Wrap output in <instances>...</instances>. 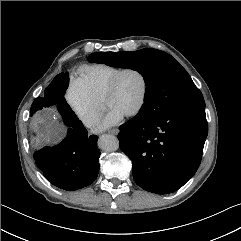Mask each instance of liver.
<instances>
[{
  "instance_id": "1",
  "label": "liver",
  "mask_w": 241,
  "mask_h": 241,
  "mask_svg": "<svg viewBox=\"0 0 241 241\" xmlns=\"http://www.w3.org/2000/svg\"><path fill=\"white\" fill-rule=\"evenodd\" d=\"M63 132H64V130L59 125H55L54 130L52 132V138L58 139L62 135Z\"/></svg>"
}]
</instances>
